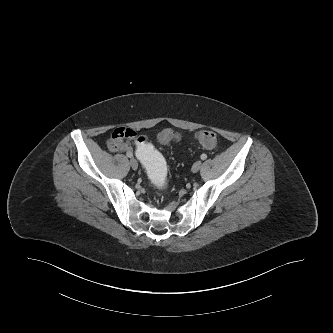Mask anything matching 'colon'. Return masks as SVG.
<instances>
[{
    "label": "colon",
    "instance_id": "5ec220e1",
    "mask_svg": "<svg viewBox=\"0 0 333 333\" xmlns=\"http://www.w3.org/2000/svg\"><path fill=\"white\" fill-rule=\"evenodd\" d=\"M136 156L144 165V177L151 185H155V188L160 193H165L170 188V183L167 180L168 172L167 165L164 160V156L158 151L156 145L151 144L148 138L144 135L136 134ZM182 135L171 129H165L159 132L155 138L157 144L167 145L173 141H180ZM195 139L197 142L207 149H213L216 147L217 138L216 135L209 130H201L196 133Z\"/></svg>",
    "mask_w": 333,
    "mask_h": 333
}]
</instances>
